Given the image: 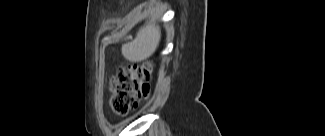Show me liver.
<instances>
[{
  "mask_svg": "<svg viewBox=\"0 0 325 136\" xmlns=\"http://www.w3.org/2000/svg\"><path fill=\"white\" fill-rule=\"evenodd\" d=\"M160 39V28L152 20L139 29L134 40L122 45V55L131 62L146 60L156 51Z\"/></svg>",
  "mask_w": 325,
  "mask_h": 136,
  "instance_id": "6515ba94",
  "label": "liver"
}]
</instances>
